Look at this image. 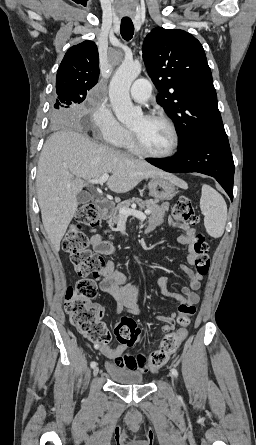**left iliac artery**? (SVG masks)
Returning a JSON list of instances; mask_svg holds the SVG:
<instances>
[{"mask_svg":"<svg viewBox=\"0 0 256 445\" xmlns=\"http://www.w3.org/2000/svg\"><path fill=\"white\" fill-rule=\"evenodd\" d=\"M172 374L177 377L178 376V371L175 368L171 369Z\"/></svg>","mask_w":256,"mask_h":445,"instance_id":"44dca946","label":"left iliac artery"}]
</instances>
